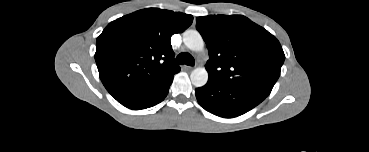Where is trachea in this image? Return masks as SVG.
Returning <instances> with one entry per match:
<instances>
[{
  "label": "trachea",
  "mask_w": 369,
  "mask_h": 152,
  "mask_svg": "<svg viewBox=\"0 0 369 152\" xmlns=\"http://www.w3.org/2000/svg\"><path fill=\"white\" fill-rule=\"evenodd\" d=\"M176 63L180 65L186 64L189 66H193L195 64V60L191 54L186 52V53H180L176 57Z\"/></svg>",
  "instance_id": "3493384b"
}]
</instances>
